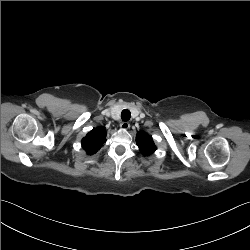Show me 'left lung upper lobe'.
Segmentation results:
<instances>
[{
    "label": "left lung upper lobe",
    "instance_id": "5c2ea615",
    "mask_svg": "<svg viewBox=\"0 0 250 250\" xmlns=\"http://www.w3.org/2000/svg\"><path fill=\"white\" fill-rule=\"evenodd\" d=\"M136 142L141 152L144 155H150L156 150V147L152 138L145 132H140L137 134Z\"/></svg>",
    "mask_w": 250,
    "mask_h": 250
}]
</instances>
